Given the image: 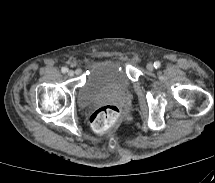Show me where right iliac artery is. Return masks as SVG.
<instances>
[{"instance_id":"right-iliac-artery-1","label":"right iliac artery","mask_w":215,"mask_h":183,"mask_svg":"<svg viewBox=\"0 0 215 183\" xmlns=\"http://www.w3.org/2000/svg\"><path fill=\"white\" fill-rule=\"evenodd\" d=\"M61 71H62V73H66V72H67V68L63 67V68L61 69Z\"/></svg>"}]
</instances>
